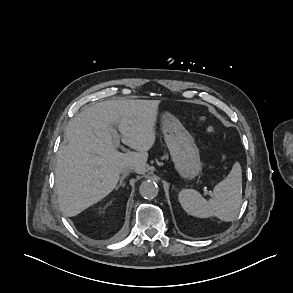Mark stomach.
<instances>
[{
  "label": "stomach",
  "mask_w": 293,
  "mask_h": 293,
  "mask_svg": "<svg viewBox=\"0 0 293 293\" xmlns=\"http://www.w3.org/2000/svg\"><path fill=\"white\" fill-rule=\"evenodd\" d=\"M161 126L175 170L184 179H194L201 172L202 164L192 136L180 121L169 113L163 116Z\"/></svg>",
  "instance_id": "1"
}]
</instances>
